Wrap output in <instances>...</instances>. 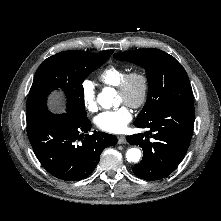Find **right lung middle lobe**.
<instances>
[{"instance_id":"obj_1","label":"right lung middle lobe","mask_w":221,"mask_h":221,"mask_svg":"<svg viewBox=\"0 0 221 221\" xmlns=\"http://www.w3.org/2000/svg\"><path fill=\"white\" fill-rule=\"evenodd\" d=\"M112 53V50L102 53L69 50L47 58L35 73L27 111L38 106L46 107L49 93L59 89L66 95L67 112L87 116L82 83L107 61Z\"/></svg>"}]
</instances>
